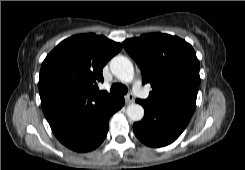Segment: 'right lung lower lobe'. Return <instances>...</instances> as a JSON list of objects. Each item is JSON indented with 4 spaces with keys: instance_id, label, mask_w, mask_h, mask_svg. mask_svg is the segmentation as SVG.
Returning a JSON list of instances; mask_svg holds the SVG:
<instances>
[{
    "instance_id": "right-lung-lower-lobe-1",
    "label": "right lung lower lobe",
    "mask_w": 245,
    "mask_h": 170,
    "mask_svg": "<svg viewBox=\"0 0 245 170\" xmlns=\"http://www.w3.org/2000/svg\"><path fill=\"white\" fill-rule=\"evenodd\" d=\"M123 105L124 97L116 96L111 102L104 105L80 132L63 144L77 152H87L97 148L107 135L110 117Z\"/></svg>"
}]
</instances>
